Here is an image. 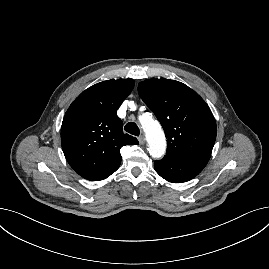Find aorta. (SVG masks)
<instances>
[{"label":"aorta","instance_id":"aorta-1","mask_svg":"<svg viewBox=\"0 0 269 269\" xmlns=\"http://www.w3.org/2000/svg\"><path fill=\"white\" fill-rule=\"evenodd\" d=\"M139 121L146 135L149 154L153 158H161L166 152V138L160 124L147 115L140 116Z\"/></svg>","mask_w":269,"mask_h":269}]
</instances>
